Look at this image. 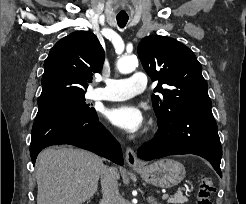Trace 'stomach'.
I'll use <instances>...</instances> for the list:
<instances>
[{
  "mask_svg": "<svg viewBox=\"0 0 246 204\" xmlns=\"http://www.w3.org/2000/svg\"><path fill=\"white\" fill-rule=\"evenodd\" d=\"M141 178L151 185L170 188L178 185L185 177V167L173 159H160L143 168H135Z\"/></svg>",
  "mask_w": 246,
  "mask_h": 204,
  "instance_id": "obj_1",
  "label": "stomach"
}]
</instances>
